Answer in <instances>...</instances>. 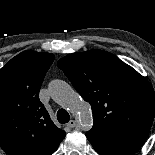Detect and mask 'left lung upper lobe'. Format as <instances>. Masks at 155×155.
Here are the masks:
<instances>
[{
    "instance_id": "obj_1",
    "label": "left lung upper lobe",
    "mask_w": 155,
    "mask_h": 155,
    "mask_svg": "<svg viewBox=\"0 0 155 155\" xmlns=\"http://www.w3.org/2000/svg\"><path fill=\"white\" fill-rule=\"evenodd\" d=\"M57 65L90 103L94 120L90 131L151 127L155 112L153 87L115 55L93 49L69 54Z\"/></svg>"
}]
</instances>
